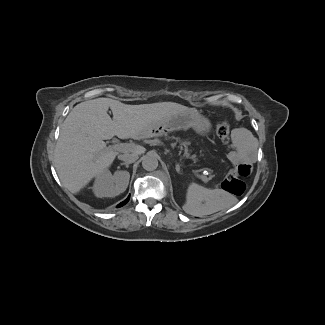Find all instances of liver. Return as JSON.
<instances>
[{
  "instance_id": "6515ba94",
  "label": "liver",
  "mask_w": 325,
  "mask_h": 325,
  "mask_svg": "<svg viewBox=\"0 0 325 325\" xmlns=\"http://www.w3.org/2000/svg\"><path fill=\"white\" fill-rule=\"evenodd\" d=\"M185 112L197 110L174 102L128 105L110 98L77 104L63 122L54 152V167L63 186L76 194L113 163L118 152L103 140L147 138L145 132L151 126ZM133 152L141 153L143 148Z\"/></svg>"
}]
</instances>
